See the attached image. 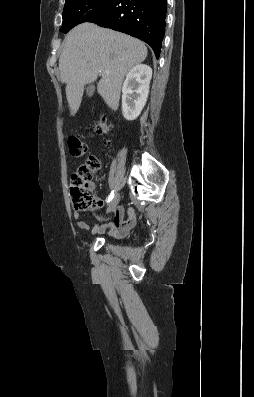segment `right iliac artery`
<instances>
[{
	"label": "right iliac artery",
	"mask_w": 254,
	"mask_h": 397,
	"mask_svg": "<svg viewBox=\"0 0 254 397\" xmlns=\"http://www.w3.org/2000/svg\"><path fill=\"white\" fill-rule=\"evenodd\" d=\"M113 197H114V192L112 191L107 198V202H110L113 199Z\"/></svg>",
	"instance_id": "obj_1"
}]
</instances>
